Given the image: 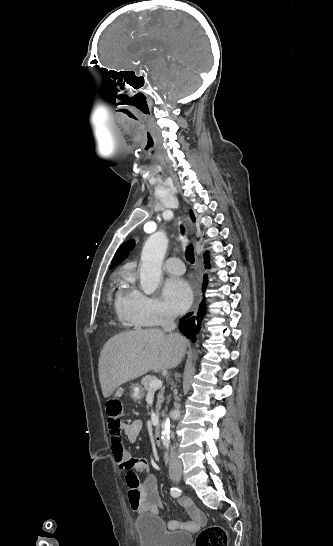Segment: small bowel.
<instances>
[{
	"mask_svg": "<svg viewBox=\"0 0 333 546\" xmlns=\"http://www.w3.org/2000/svg\"><path fill=\"white\" fill-rule=\"evenodd\" d=\"M117 392L113 393V396H122L124 392L123 386L117 387ZM107 426L111 439V450L114 459L121 471L126 473V483L128 485V497L129 503L133 510L139 512H147L151 514H158L159 510L163 507V499L157 489V481L155 476L148 474L146 478L140 483L137 473H148V463L143 459H134L129 452L124 448L121 434H125L127 440L130 443L137 442L142 430V422L140 420H134L130 423H125L121 420V416L118 422H109L107 419ZM184 507L192 521L184 523L177 520L170 521V525L174 528H190L196 529L204 522V517L199 509L188 498H184L180 502Z\"/></svg>",
	"mask_w": 333,
	"mask_h": 546,
	"instance_id": "small-bowel-1",
	"label": "small bowel"
}]
</instances>
